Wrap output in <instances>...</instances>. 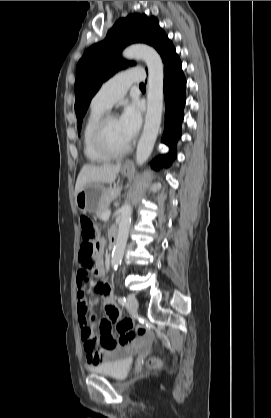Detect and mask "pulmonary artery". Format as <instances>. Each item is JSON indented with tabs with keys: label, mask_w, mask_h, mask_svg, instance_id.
<instances>
[{
	"label": "pulmonary artery",
	"mask_w": 271,
	"mask_h": 418,
	"mask_svg": "<svg viewBox=\"0 0 271 418\" xmlns=\"http://www.w3.org/2000/svg\"><path fill=\"white\" fill-rule=\"evenodd\" d=\"M144 80V72L141 69H129L115 74L107 80L92 99V105L109 109L121 99L132 83Z\"/></svg>",
	"instance_id": "pulmonary-artery-1"
}]
</instances>
